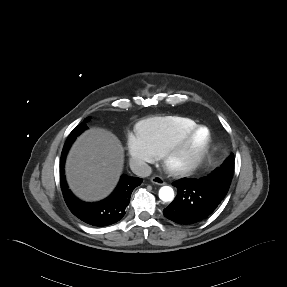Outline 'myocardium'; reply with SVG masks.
<instances>
[{
	"label": "myocardium",
	"instance_id": "1",
	"mask_svg": "<svg viewBox=\"0 0 287 287\" xmlns=\"http://www.w3.org/2000/svg\"><path fill=\"white\" fill-rule=\"evenodd\" d=\"M201 129H206L208 132L207 142L202 149L201 153L189 163H176L177 157L182 154L190 141ZM213 144V135L207 126L198 125L185 135L176 140L163 154L162 164L165 171L174 177H184L196 171L207 158Z\"/></svg>",
	"mask_w": 287,
	"mask_h": 287
}]
</instances>
